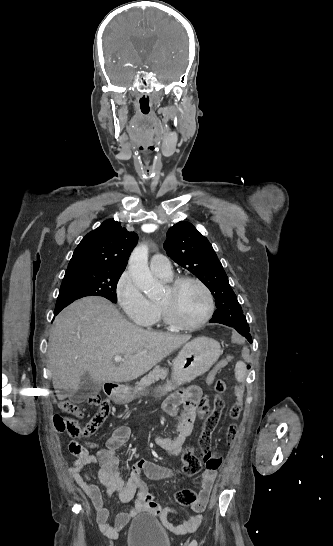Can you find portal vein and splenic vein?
Listing matches in <instances>:
<instances>
[{
    "instance_id": "portal-vein-and-splenic-vein-1",
    "label": "portal vein and splenic vein",
    "mask_w": 333,
    "mask_h": 546,
    "mask_svg": "<svg viewBox=\"0 0 333 546\" xmlns=\"http://www.w3.org/2000/svg\"><path fill=\"white\" fill-rule=\"evenodd\" d=\"M114 361H115L116 363H120V362L124 361V359H123L122 356L116 355V356L114 357Z\"/></svg>"
}]
</instances>
